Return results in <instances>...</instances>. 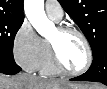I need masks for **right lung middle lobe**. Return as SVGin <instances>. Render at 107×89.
I'll list each match as a JSON object with an SVG mask.
<instances>
[{"instance_id":"right-lung-middle-lobe-1","label":"right lung middle lobe","mask_w":107,"mask_h":89,"mask_svg":"<svg viewBox=\"0 0 107 89\" xmlns=\"http://www.w3.org/2000/svg\"><path fill=\"white\" fill-rule=\"evenodd\" d=\"M24 19L0 16V61L15 65L13 57L14 38Z\"/></svg>"}]
</instances>
